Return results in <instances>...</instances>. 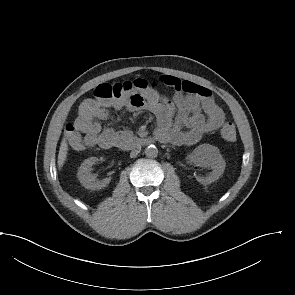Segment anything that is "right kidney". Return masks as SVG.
Wrapping results in <instances>:
<instances>
[{"instance_id":"1","label":"right kidney","mask_w":295,"mask_h":295,"mask_svg":"<svg viewBox=\"0 0 295 295\" xmlns=\"http://www.w3.org/2000/svg\"><path fill=\"white\" fill-rule=\"evenodd\" d=\"M98 161V158L91 157L84 160V162L79 167L77 177L82 186H84L86 189L100 190L106 187L111 181V178H106L100 181L96 180V176L91 173L92 166L96 164Z\"/></svg>"}]
</instances>
